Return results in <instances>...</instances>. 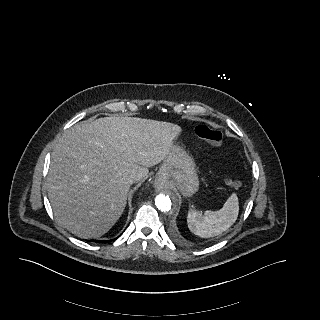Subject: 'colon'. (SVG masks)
Returning <instances> with one entry per match:
<instances>
[{"instance_id": "1", "label": "colon", "mask_w": 320, "mask_h": 320, "mask_svg": "<svg viewBox=\"0 0 320 320\" xmlns=\"http://www.w3.org/2000/svg\"><path fill=\"white\" fill-rule=\"evenodd\" d=\"M195 134L207 141L210 145L214 147H219L222 144L223 134L220 130L211 128L207 125L200 124L195 128ZM226 185L232 188H239L241 186V182L236 179L227 178Z\"/></svg>"}]
</instances>
